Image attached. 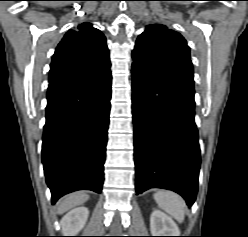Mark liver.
I'll return each instance as SVG.
<instances>
[{"instance_id":"liver-1","label":"liver","mask_w":248,"mask_h":237,"mask_svg":"<svg viewBox=\"0 0 248 237\" xmlns=\"http://www.w3.org/2000/svg\"><path fill=\"white\" fill-rule=\"evenodd\" d=\"M89 199V195L85 192H75L61 199L57 206V213L63 214L68 210L79 206Z\"/></svg>"}]
</instances>
